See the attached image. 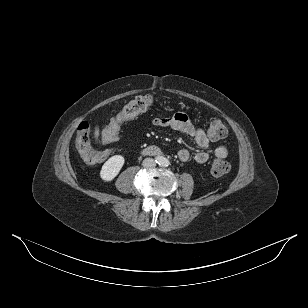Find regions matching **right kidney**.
<instances>
[{
  "instance_id": "obj_1",
  "label": "right kidney",
  "mask_w": 308,
  "mask_h": 308,
  "mask_svg": "<svg viewBox=\"0 0 308 308\" xmlns=\"http://www.w3.org/2000/svg\"><path fill=\"white\" fill-rule=\"evenodd\" d=\"M125 159L121 155H115L109 158L100 171V177L104 181H112L123 167Z\"/></svg>"
}]
</instances>
